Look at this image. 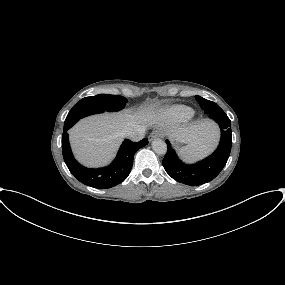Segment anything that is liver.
Listing matches in <instances>:
<instances>
[{
	"label": "liver",
	"mask_w": 285,
	"mask_h": 285,
	"mask_svg": "<svg viewBox=\"0 0 285 285\" xmlns=\"http://www.w3.org/2000/svg\"><path fill=\"white\" fill-rule=\"evenodd\" d=\"M156 118L155 113L147 110L85 118L69 130L73 152L77 160L86 166L105 165L114 157L127 128L153 124ZM171 135L179 142L201 145L216 137V129L211 123L201 121L188 127L173 129Z\"/></svg>",
	"instance_id": "liver-1"
}]
</instances>
